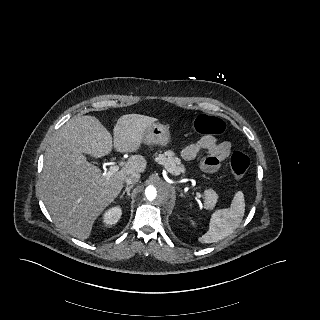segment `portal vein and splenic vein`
<instances>
[{
    "label": "portal vein and splenic vein",
    "mask_w": 320,
    "mask_h": 320,
    "mask_svg": "<svg viewBox=\"0 0 320 320\" xmlns=\"http://www.w3.org/2000/svg\"><path fill=\"white\" fill-rule=\"evenodd\" d=\"M118 170H119V166L113 164V165L109 168V170H108V172L106 173V175H107V176H110V175H112L113 173L117 172ZM196 196H197L198 198H200V199L202 198L201 194L198 193V192H196Z\"/></svg>",
    "instance_id": "1"
}]
</instances>
